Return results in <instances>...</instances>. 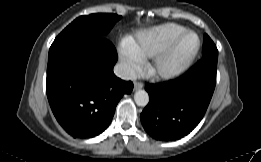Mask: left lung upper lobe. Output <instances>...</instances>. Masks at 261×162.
<instances>
[{"instance_id":"5c2ea615","label":"left lung upper lobe","mask_w":261,"mask_h":162,"mask_svg":"<svg viewBox=\"0 0 261 162\" xmlns=\"http://www.w3.org/2000/svg\"><path fill=\"white\" fill-rule=\"evenodd\" d=\"M202 56H218V50L207 34H204Z\"/></svg>"}]
</instances>
